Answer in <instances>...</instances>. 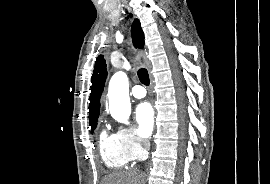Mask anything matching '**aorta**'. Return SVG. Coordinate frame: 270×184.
Returning <instances> with one entry per match:
<instances>
[{"label": "aorta", "instance_id": "aorta-1", "mask_svg": "<svg viewBox=\"0 0 270 184\" xmlns=\"http://www.w3.org/2000/svg\"><path fill=\"white\" fill-rule=\"evenodd\" d=\"M108 98L111 116L118 122L128 124L131 104L128 77L125 72L118 71L110 79Z\"/></svg>", "mask_w": 270, "mask_h": 184}]
</instances>
